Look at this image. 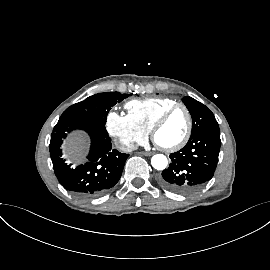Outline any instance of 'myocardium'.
<instances>
[{"label":"myocardium","instance_id":"f54148a6","mask_svg":"<svg viewBox=\"0 0 270 270\" xmlns=\"http://www.w3.org/2000/svg\"><path fill=\"white\" fill-rule=\"evenodd\" d=\"M183 109L186 113L187 116V129L186 132L184 134V136L182 137V139L177 142L176 144L172 145V146H161L156 142V134L159 131V129L165 124V122L168 120V118L171 116V114L177 110V109ZM192 130H193V119H192V114L191 111L189 110V108L183 104V103H176L172 106H170L169 108H167L159 117L158 119L155 121V123L153 124L152 128H151V138L153 140V142L164 152H175L180 150L181 148H183L187 142L189 141L191 134H192Z\"/></svg>","mask_w":270,"mask_h":270}]
</instances>
